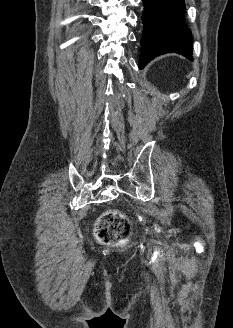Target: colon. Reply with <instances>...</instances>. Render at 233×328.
Returning a JSON list of instances; mask_svg holds the SVG:
<instances>
[{"mask_svg":"<svg viewBox=\"0 0 233 328\" xmlns=\"http://www.w3.org/2000/svg\"><path fill=\"white\" fill-rule=\"evenodd\" d=\"M131 233L130 221L118 210H108L103 213L95 227V236L99 243L117 245L125 242Z\"/></svg>","mask_w":233,"mask_h":328,"instance_id":"obj_1","label":"colon"}]
</instances>
